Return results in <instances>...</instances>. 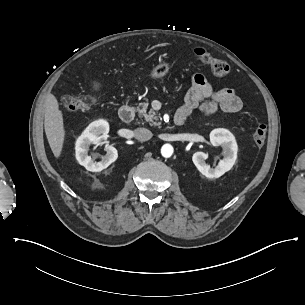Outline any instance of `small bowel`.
<instances>
[{"label":"small bowel","mask_w":305,"mask_h":305,"mask_svg":"<svg viewBox=\"0 0 305 305\" xmlns=\"http://www.w3.org/2000/svg\"><path fill=\"white\" fill-rule=\"evenodd\" d=\"M242 107V101L232 89H214L202 74L191 77V85L185 96L184 104L178 114L189 116L199 109L206 114L216 112L236 113Z\"/></svg>","instance_id":"1"}]
</instances>
